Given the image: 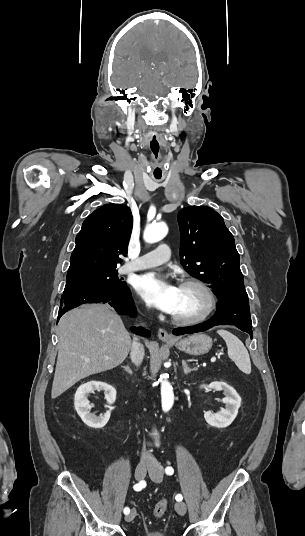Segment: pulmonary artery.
I'll return each instance as SVG.
<instances>
[{
  "label": "pulmonary artery",
  "instance_id": "pulmonary-artery-1",
  "mask_svg": "<svg viewBox=\"0 0 305 536\" xmlns=\"http://www.w3.org/2000/svg\"><path fill=\"white\" fill-rule=\"evenodd\" d=\"M170 246L168 244H159L153 250L145 253L141 257H137V261L128 264L125 267L126 272L144 270L161 265L167 262L170 257Z\"/></svg>",
  "mask_w": 305,
  "mask_h": 536
}]
</instances>
